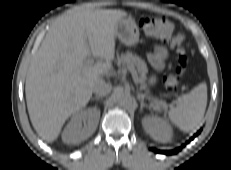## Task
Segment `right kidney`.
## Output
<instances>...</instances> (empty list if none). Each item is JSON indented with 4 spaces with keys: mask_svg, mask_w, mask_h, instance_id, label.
I'll return each mask as SVG.
<instances>
[{
    "mask_svg": "<svg viewBox=\"0 0 231 170\" xmlns=\"http://www.w3.org/2000/svg\"><path fill=\"white\" fill-rule=\"evenodd\" d=\"M100 118V110L88 108L72 116L62 133L66 144H78L90 137L96 130Z\"/></svg>",
    "mask_w": 231,
    "mask_h": 170,
    "instance_id": "right-kidney-1",
    "label": "right kidney"
}]
</instances>
